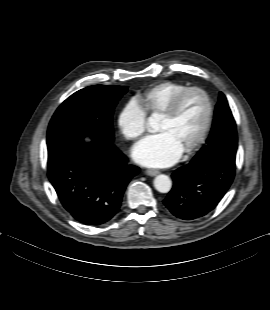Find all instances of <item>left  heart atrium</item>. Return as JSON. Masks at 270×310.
I'll return each mask as SVG.
<instances>
[{
    "label": "left heart atrium",
    "mask_w": 270,
    "mask_h": 310,
    "mask_svg": "<svg viewBox=\"0 0 270 310\" xmlns=\"http://www.w3.org/2000/svg\"><path fill=\"white\" fill-rule=\"evenodd\" d=\"M183 150L166 132L149 135L132 149L133 159L147 167H165L179 159Z\"/></svg>",
    "instance_id": "obj_1"
}]
</instances>
